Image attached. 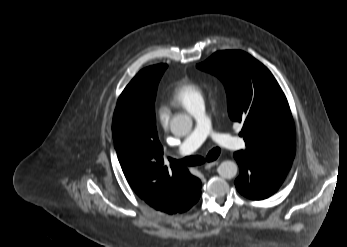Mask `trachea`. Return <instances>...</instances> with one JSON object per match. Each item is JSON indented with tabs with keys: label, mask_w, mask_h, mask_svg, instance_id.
I'll list each match as a JSON object with an SVG mask.
<instances>
[{
	"label": "trachea",
	"mask_w": 347,
	"mask_h": 247,
	"mask_svg": "<svg viewBox=\"0 0 347 247\" xmlns=\"http://www.w3.org/2000/svg\"><path fill=\"white\" fill-rule=\"evenodd\" d=\"M220 148H213L211 151H209V153L206 156V160L208 162L214 161L215 159H217V157L220 154ZM170 161L172 162V164H178V165H189V166H196V165H200L203 164L205 162V159L201 156H190V157H186L182 160H173L170 159Z\"/></svg>",
	"instance_id": "1"
}]
</instances>
